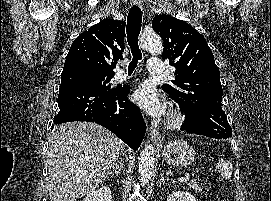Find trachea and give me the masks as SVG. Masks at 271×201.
<instances>
[{
	"instance_id": "trachea-1",
	"label": "trachea",
	"mask_w": 271,
	"mask_h": 201,
	"mask_svg": "<svg viewBox=\"0 0 271 201\" xmlns=\"http://www.w3.org/2000/svg\"><path fill=\"white\" fill-rule=\"evenodd\" d=\"M142 26L141 9L134 5L130 8L127 16V41L130 46L133 59L129 64L128 73L131 74L137 67L138 60L142 59V53L138 45V37Z\"/></svg>"
}]
</instances>
